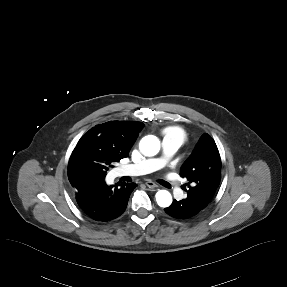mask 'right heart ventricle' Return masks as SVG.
<instances>
[{"mask_svg":"<svg viewBox=\"0 0 287 287\" xmlns=\"http://www.w3.org/2000/svg\"><path fill=\"white\" fill-rule=\"evenodd\" d=\"M166 136H170V137H174L176 139H178L180 141V143H182L184 141V133L182 132L181 129L179 128H172V129H168L165 132Z\"/></svg>","mask_w":287,"mask_h":287,"instance_id":"obj_1","label":"right heart ventricle"}]
</instances>
